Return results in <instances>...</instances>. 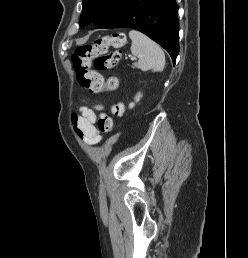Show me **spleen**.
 Masks as SVG:
<instances>
[{
    "label": "spleen",
    "mask_w": 248,
    "mask_h": 258,
    "mask_svg": "<svg viewBox=\"0 0 248 258\" xmlns=\"http://www.w3.org/2000/svg\"><path fill=\"white\" fill-rule=\"evenodd\" d=\"M131 53L139 58L138 67L143 71L161 72L165 66V55L162 49L143 33L131 30Z\"/></svg>",
    "instance_id": "3e777b00"
}]
</instances>
